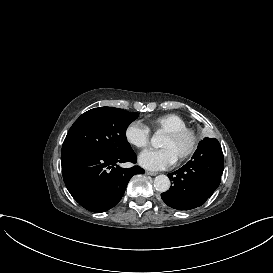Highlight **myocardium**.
Wrapping results in <instances>:
<instances>
[{
    "instance_id": "f54148a6",
    "label": "myocardium",
    "mask_w": 273,
    "mask_h": 273,
    "mask_svg": "<svg viewBox=\"0 0 273 273\" xmlns=\"http://www.w3.org/2000/svg\"><path fill=\"white\" fill-rule=\"evenodd\" d=\"M164 135L170 138H177L182 136H187L189 139V145L187 150L178 159L179 162H183L194 155L197 150L199 137L198 132L195 129L186 127L177 130H171L164 132Z\"/></svg>"
}]
</instances>
